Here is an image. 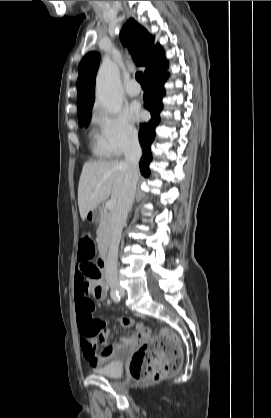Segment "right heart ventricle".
<instances>
[{
	"mask_svg": "<svg viewBox=\"0 0 271 418\" xmlns=\"http://www.w3.org/2000/svg\"><path fill=\"white\" fill-rule=\"evenodd\" d=\"M90 140H91V149L92 152L100 158H105L110 156L108 151L103 145L101 133L98 132L96 128H93L90 132Z\"/></svg>",
	"mask_w": 271,
	"mask_h": 418,
	"instance_id": "1",
	"label": "right heart ventricle"
}]
</instances>
